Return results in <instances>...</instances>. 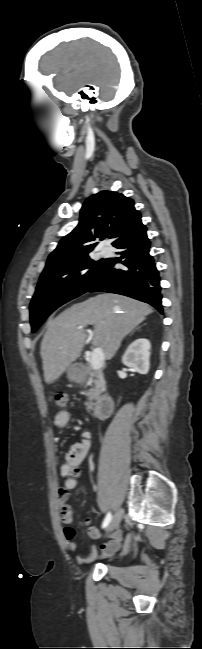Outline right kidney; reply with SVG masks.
Masks as SVG:
<instances>
[{"instance_id": "ca27d5eb", "label": "right kidney", "mask_w": 202, "mask_h": 649, "mask_svg": "<svg viewBox=\"0 0 202 649\" xmlns=\"http://www.w3.org/2000/svg\"><path fill=\"white\" fill-rule=\"evenodd\" d=\"M150 348L151 345L148 339H136L124 353L122 357L123 364L140 374H147L150 366Z\"/></svg>"}]
</instances>
